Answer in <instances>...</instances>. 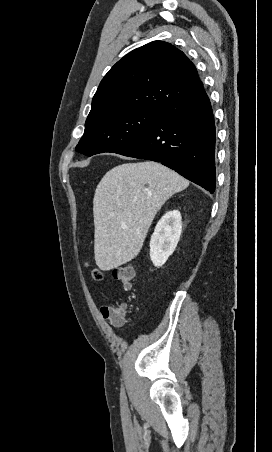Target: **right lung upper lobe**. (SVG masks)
Segmentation results:
<instances>
[{
	"label": "right lung upper lobe",
	"mask_w": 272,
	"mask_h": 452,
	"mask_svg": "<svg viewBox=\"0 0 272 452\" xmlns=\"http://www.w3.org/2000/svg\"><path fill=\"white\" fill-rule=\"evenodd\" d=\"M202 87L194 64L182 51L154 41L131 51L110 69L93 97L87 120L129 109L164 113Z\"/></svg>",
	"instance_id": "1"
}]
</instances>
